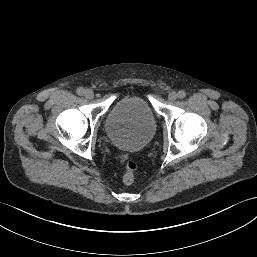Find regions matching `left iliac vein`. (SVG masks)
Segmentation results:
<instances>
[{"label": "left iliac vein", "mask_w": 257, "mask_h": 257, "mask_svg": "<svg viewBox=\"0 0 257 257\" xmlns=\"http://www.w3.org/2000/svg\"><path fill=\"white\" fill-rule=\"evenodd\" d=\"M178 97V94L175 92V91H171L169 94H168V99L173 102L177 99Z\"/></svg>", "instance_id": "1"}]
</instances>
